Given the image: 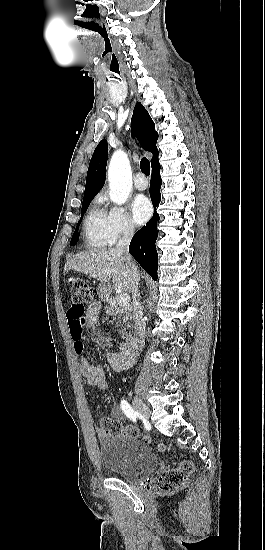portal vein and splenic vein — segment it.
Masks as SVG:
<instances>
[{
  "label": "portal vein and splenic vein",
  "instance_id": "1",
  "mask_svg": "<svg viewBox=\"0 0 265 550\" xmlns=\"http://www.w3.org/2000/svg\"><path fill=\"white\" fill-rule=\"evenodd\" d=\"M119 301L123 304H128L130 302V296L127 293L121 294L119 296Z\"/></svg>",
  "mask_w": 265,
  "mask_h": 550
}]
</instances>
